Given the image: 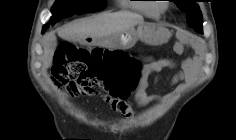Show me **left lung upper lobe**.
<instances>
[{
  "label": "left lung upper lobe",
  "instance_id": "obj_1",
  "mask_svg": "<svg viewBox=\"0 0 236 140\" xmlns=\"http://www.w3.org/2000/svg\"><path fill=\"white\" fill-rule=\"evenodd\" d=\"M177 7L187 13V23L196 32L203 34L202 14L195 0H173Z\"/></svg>",
  "mask_w": 236,
  "mask_h": 140
}]
</instances>
